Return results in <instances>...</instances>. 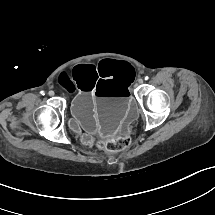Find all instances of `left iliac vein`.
Returning <instances> with one entry per match:
<instances>
[{"label": "left iliac vein", "instance_id": "4c4485c4", "mask_svg": "<svg viewBox=\"0 0 215 215\" xmlns=\"http://www.w3.org/2000/svg\"><path fill=\"white\" fill-rule=\"evenodd\" d=\"M144 81H143V79H138V84H142Z\"/></svg>", "mask_w": 215, "mask_h": 215}]
</instances>
